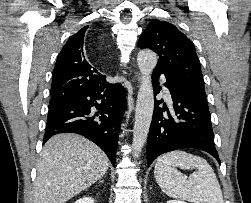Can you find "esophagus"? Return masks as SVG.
Segmentation results:
<instances>
[{"mask_svg": "<svg viewBox=\"0 0 251 203\" xmlns=\"http://www.w3.org/2000/svg\"><path fill=\"white\" fill-rule=\"evenodd\" d=\"M135 77H136L137 81L139 82L140 81V74H139V72H135Z\"/></svg>", "mask_w": 251, "mask_h": 203, "instance_id": "34e87169", "label": "esophagus"}]
</instances>
